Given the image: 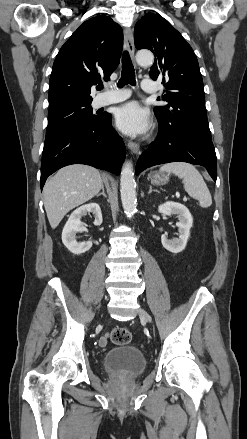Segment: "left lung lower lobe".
Returning <instances> with one entry per match:
<instances>
[{"label": "left lung lower lobe", "instance_id": "1", "mask_svg": "<svg viewBox=\"0 0 247 439\" xmlns=\"http://www.w3.org/2000/svg\"><path fill=\"white\" fill-rule=\"evenodd\" d=\"M176 161L204 166L213 180L217 179V158L211 135L188 127H159L157 140L142 153L135 172L138 175L151 166Z\"/></svg>", "mask_w": 247, "mask_h": 439}]
</instances>
